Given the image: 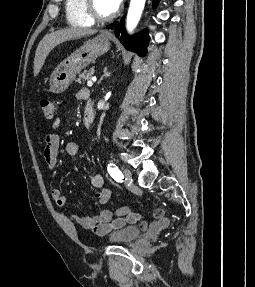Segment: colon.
<instances>
[{"instance_id":"obj_1","label":"colon","mask_w":255,"mask_h":287,"mask_svg":"<svg viewBox=\"0 0 255 287\" xmlns=\"http://www.w3.org/2000/svg\"><path fill=\"white\" fill-rule=\"evenodd\" d=\"M39 108L41 110V113L46 119H51L54 116L55 112V105L52 101L48 99H42L39 103ZM132 212L131 208L129 206L120 207L115 211V214L118 217H124L129 215Z\"/></svg>"}]
</instances>
